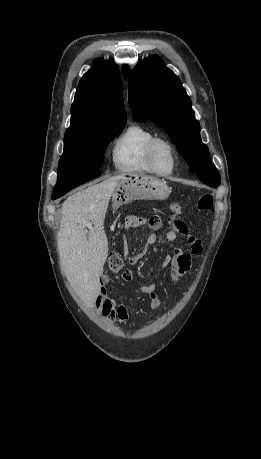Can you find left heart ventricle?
I'll return each instance as SVG.
<instances>
[{
	"mask_svg": "<svg viewBox=\"0 0 261 459\" xmlns=\"http://www.w3.org/2000/svg\"><path fill=\"white\" fill-rule=\"evenodd\" d=\"M155 165L161 172H169L173 166L170 150L165 145H159L155 152Z\"/></svg>",
	"mask_w": 261,
	"mask_h": 459,
	"instance_id": "obj_1",
	"label": "left heart ventricle"
}]
</instances>
